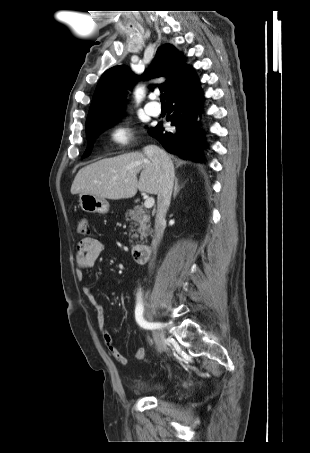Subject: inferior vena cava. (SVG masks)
<instances>
[{
	"label": "inferior vena cava",
	"mask_w": 310,
	"mask_h": 453,
	"mask_svg": "<svg viewBox=\"0 0 310 453\" xmlns=\"http://www.w3.org/2000/svg\"><path fill=\"white\" fill-rule=\"evenodd\" d=\"M144 153L160 171L157 213L155 217L154 237L152 240V246L156 249L163 237L165 216L171 201L175 174L173 163L165 151L155 145H149L144 148Z\"/></svg>",
	"instance_id": "obj_1"
}]
</instances>
